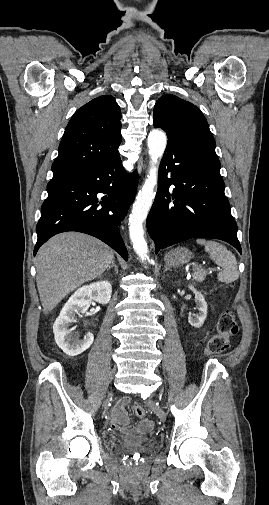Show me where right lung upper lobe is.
<instances>
[{"mask_svg": "<svg viewBox=\"0 0 269 505\" xmlns=\"http://www.w3.org/2000/svg\"><path fill=\"white\" fill-rule=\"evenodd\" d=\"M121 111L109 95L79 108L69 121L52 165L53 178L76 173L119 154Z\"/></svg>", "mask_w": 269, "mask_h": 505, "instance_id": "cb5924a9", "label": "right lung upper lobe"}]
</instances>
